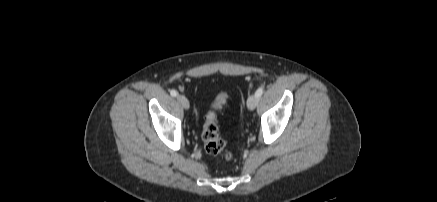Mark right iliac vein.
Listing matches in <instances>:
<instances>
[{
  "label": "right iliac vein",
  "instance_id": "63e3f726",
  "mask_svg": "<svg viewBox=\"0 0 437 202\" xmlns=\"http://www.w3.org/2000/svg\"><path fill=\"white\" fill-rule=\"evenodd\" d=\"M177 100L182 105V107L184 109H186V110L189 109V107H190L189 101L184 95H178Z\"/></svg>",
  "mask_w": 437,
  "mask_h": 202
}]
</instances>
